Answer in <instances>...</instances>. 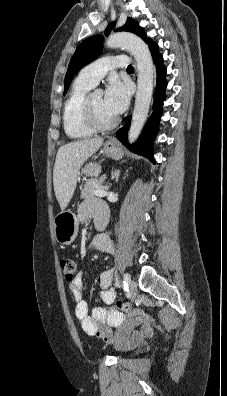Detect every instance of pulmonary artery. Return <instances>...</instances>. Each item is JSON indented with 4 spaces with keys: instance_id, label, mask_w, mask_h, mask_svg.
I'll return each mask as SVG.
<instances>
[{
    "instance_id": "pulmonary-artery-1",
    "label": "pulmonary artery",
    "mask_w": 227,
    "mask_h": 396,
    "mask_svg": "<svg viewBox=\"0 0 227 396\" xmlns=\"http://www.w3.org/2000/svg\"><path fill=\"white\" fill-rule=\"evenodd\" d=\"M128 64L129 60L125 55L103 57L83 68L78 78L91 86H95L108 71L126 67Z\"/></svg>"
}]
</instances>
